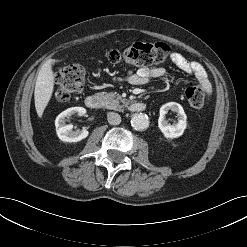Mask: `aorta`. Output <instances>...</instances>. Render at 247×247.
I'll return each instance as SVG.
<instances>
[{"mask_svg": "<svg viewBox=\"0 0 247 247\" xmlns=\"http://www.w3.org/2000/svg\"><path fill=\"white\" fill-rule=\"evenodd\" d=\"M149 125L148 116L143 113L134 114L131 118V126L138 131L146 129Z\"/></svg>", "mask_w": 247, "mask_h": 247, "instance_id": "1", "label": "aorta"}]
</instances>
